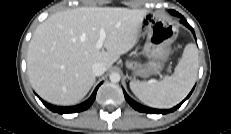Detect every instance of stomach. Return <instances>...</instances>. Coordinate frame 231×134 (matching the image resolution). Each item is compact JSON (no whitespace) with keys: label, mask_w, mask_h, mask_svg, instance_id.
<instances>
[{"label":"stomach","mask_w":231,"mask_h":134,"mask_svg":"<svg viewBox=\"0 0 231 134\" xmlns=\"http://www.w3.org/2000/svg\"><path fill=\"white\" fill-rule=\"evenodd\" d=\"M139 34L146 38L143 55L149 61L132 67L133 74L147 76L160 72L170 54V46L178 36L177 27L170 21L148 12L142 19Z\"/></svg>","instance_id":"stomach-1"}]
</instances>
